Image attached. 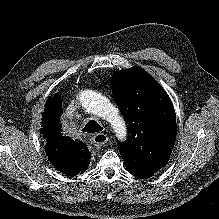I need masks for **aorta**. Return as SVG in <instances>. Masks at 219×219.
Here are the masks:
<instances>
[{
	"mask_svg": "<svg viewBox=\"0 0 219 219\" xmlns=\"http://www.w3.org/2000/svg\"><path fill=\"white\" fill-rule=\"evenodd\" d=\"M79 101L86 111L107 120L119 139L125 138L127 130L125 121L105 96L99 92L86 89L80 92Z\"/></svg>",
	"mask_w": 219,
	"mask_h": 219,
	"instance_id": "obj_1",
	"label": "aorta"
}]
</instances>
